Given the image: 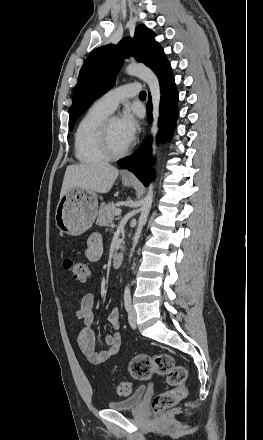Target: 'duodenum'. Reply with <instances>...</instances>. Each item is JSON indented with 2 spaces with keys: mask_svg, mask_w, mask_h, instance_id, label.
Segmentation results:
<instances>
[{
  "mask_svg": "<svg viewBox=\"0 0 263 440\" xmlns=\"http://www.w3.org/2000/svg\"><path fill=\"white\" fill-rule=\"evenodd\" d=\"M123 257H124V254H123V249L121 247L113 255L112 265L115 269L120 268V266L122 265V262H123Z\"/></svg>",
  "mask_w": 263,
  "mask_h": 440,
  "instance_id": "410a0bca",
  "label": "duodenum"
}]
</instances>
